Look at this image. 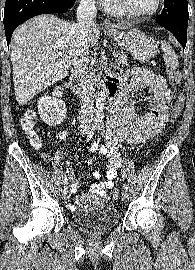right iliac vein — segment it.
<instances>
[{
	"instance_id": "right-iliac-vein-1",
	"label": "right iliac vein",
	"mask_w": 195,
	"mask_h": 270,
	"mask_svg": "<svg viewBox=\"0 0 195 270\" xmlns=\"http://www.w3.org/2000/svg\"><path fill=\"white\" fill-rule=\"evenodd\" d=\"M66 194H67V188L64 186V187L62 188V190H61V197H62V198H65Z\"/></svg>"
}]
</instances>
